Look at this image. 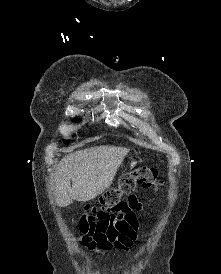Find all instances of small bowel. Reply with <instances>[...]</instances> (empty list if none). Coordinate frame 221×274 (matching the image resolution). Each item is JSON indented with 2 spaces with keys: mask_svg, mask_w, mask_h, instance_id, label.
Masks as SVG:
<instances>
[{
  "mask_svg": "<svg viewBox=\"0 0 221 274\" xmlns=\"http://www.w3.org/2000/svg\"><path fill=\"white\" fill-rule=\"evenodd\" d=\"M140 200L132 195L113 207H94L78 223L82 243L89 250L129 251L138 239Z\"/></svg>",
  "mask_w": 221,
  "mask_h": 274,
  "instance_id": "c3829d8e",
  "label": "small bowel"
}]
</instances>
